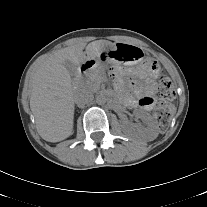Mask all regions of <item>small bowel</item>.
I'll use <instances>...</instances> for the list:
<instances>
[{
  "mask_svg": "<svg viewBox=\"0 0 207 207\" xmlns=\"http://www.w3.org/2000/svg\"><path fill=\"white\" fill-rule=\"evenodd\" d=\"M134 73L139 77L145 78L146 81L144 85H139L136 82H132L133 94H126L124 96V102L131 107H140L145 110H150L155 100L153 98V89H154V78L157 74H151L149 72V67H144L135 71L122 70L116 73V81L118 84H121L122 77L126 74Z\"/></svg>",
  "mask_w": 207,
  "mask_h": 207,
  "instance_id": "1",
  "label": "small bowel"
}]
</instances>
